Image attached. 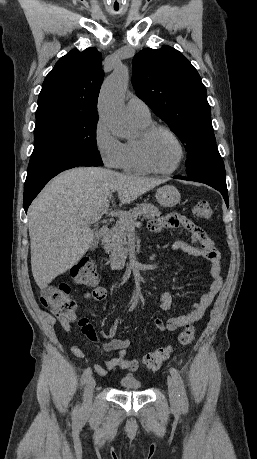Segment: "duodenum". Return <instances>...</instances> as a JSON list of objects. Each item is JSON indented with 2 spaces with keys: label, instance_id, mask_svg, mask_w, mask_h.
Returning a JSON list of instances; mask_svg holds the SVG:
<instances>
[{
  "label": "duodenum",
  "instance_id": "1",
  "mask_svg": "<svg viewBox=\"0 0 257 459\" xmlns=\"http://www.w3.org/2000/svg\"><path fill=\"white\" fill-rule=\"evenodd\" d=\"M109 233V226H103L99 230V237H106ZM109 264L114 269H122L126 265V256L125 255H115L109 260Z\"/></svg>",
  "mask_w": 257,
  "mask_h": 459
}]
</instances>
